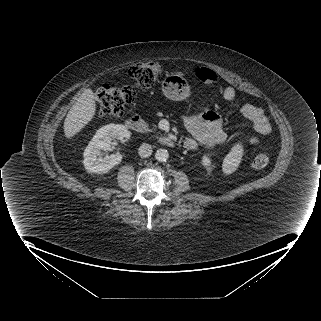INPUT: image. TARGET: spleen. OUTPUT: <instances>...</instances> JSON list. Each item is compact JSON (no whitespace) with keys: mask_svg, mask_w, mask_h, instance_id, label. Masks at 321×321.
Here are the masks:
<instances>
[{"mask_svg":"<svg viewBox=\"0 0 321 321\" xmlns=\"http://www.w3.org/2000/svg\"><path fill=\"white\" fill-rule=\"evenodd\" d=\"M242 153L243 149L241 144H236L232 147L231 151L223 161V171L225 173H231L237 168L241 160Z\"/></svg>","mask_w":321,"mask_h":321,"instance_id":"3e777b00","label":"spleen"}]
</instances>
